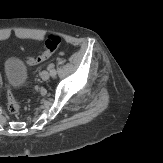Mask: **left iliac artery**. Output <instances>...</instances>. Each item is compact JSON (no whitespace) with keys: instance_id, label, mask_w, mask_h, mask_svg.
<instances>
[{"instance_id":"left-iliac-artery-1","label":"left iliac artery","mask_w":163,"mask_h":163,"mask_svg":"<svg viewBox=\"0 0 163 163\" xmlns=\"http://www.w3.org/2000/svg\"><path fill=\"white\" fill-rule=\"evenodd\" d=\"M48 70L50 71V74L52 76H55L56 75V70L54 68V64L53 63H51V64L48 65Z\"/></svg>"}]
</instances>
